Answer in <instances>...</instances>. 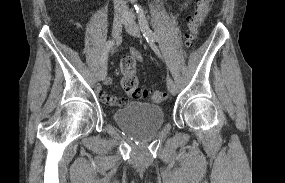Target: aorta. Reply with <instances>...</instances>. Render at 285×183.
<instances>
[{
	"instance_id": "obj_1",
	"label": "aorta",
	"mask_w": 285,
	"mask_h": 183,
	"mask_svg": "<svg viewBox=\"0 0 285 183\" xmlns=\"http://www.w3.org/2000/svg\"><path fill=\"white\" fill-rule=\"evenodd\" d=\"M136 0H131V2H135Z\"/></svg>"
}]
</instances>
